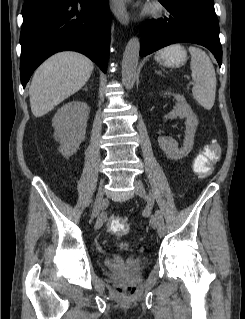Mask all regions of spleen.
Returning <instances> with one entry per match:
<instances>
[{"mask_svg":"<svg viewBox=\"0 0 245 319\" xmlns=\"http://www.w3.org/2000/svg\"><path fill=\"white\" fill-rule=\"evenodd\" d=\"M192 79L195 85L192 88L194 99L206 110H211L215 102L216 74L214 66L202 49L190 46Z\"/></svg>","mask_w":245,"mask_h":319,"instance_id":"3e777b00","label":"spleen"}]
</instances>
